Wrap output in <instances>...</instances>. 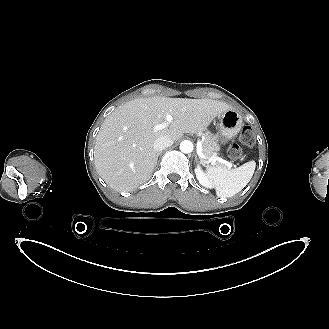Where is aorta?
I'll use <instances>...</instances> for the list:
<instances>
[{"label": "aorta", "mask_w": 329, "mask_h": 329, "mask_svg": "<svg viewBox=\"0 0 329 329\" xmlns=\"http://www.w3.org/2000/svg\"><path fill=\"white\" fill-rule=\"evenodd\" d=\"M181 152L188 154L193 151V143L189 140H184L180 143Z\"/></svg>", "instance_id": "obj_1"}]
</instances>
